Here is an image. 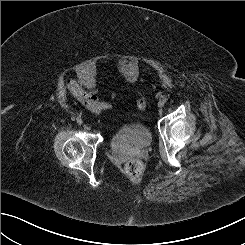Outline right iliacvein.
Segmentation results:
<instances>
[{
  "instance_id": "1",
  "label": "right iliac vein",
  "mask_w": 245,
  "mask_h": 245,
  "mask_svg": "<svg viewBox=\"0 0 245 245\" xmlns=\"http://www.w3.org/2000/svg\"><path fill=\"white\" fill-rule=\"evenodd\" d=\"M83 123V120L81 118H77V124L81 125Z\"/></svg>"
}]
</instances>
